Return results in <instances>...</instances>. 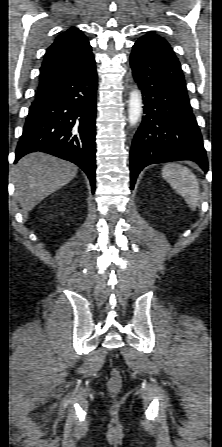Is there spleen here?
<instances>
[{"mask_svg":"<svg viewBox=\"0 0 222 447\" xmlns=\"http://www.w3.org/2000/svg\"><path fill=\"white\" fill-rule=\"evenodd\" d=\"M162 175L192 210H196L200 199V187L197 177L177 163H168L162 169Z\"/></svg>","mask_w":222,"mask_h":447,"instance_id":"obj_1","label":"spleen"}]
</instances>
